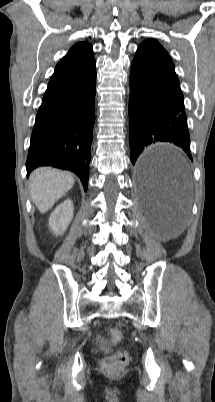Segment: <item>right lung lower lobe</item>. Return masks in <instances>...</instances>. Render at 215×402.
<instances>
[{
	"instance_id": "1",
	"label": "right lung lower lobe",
	"mask_w": 215,
	"mask_h": 402,
	"mask_svg": "<svg viewBox=\"0 0 215 402\" xmlns=\"http://www.w3.org/2000/svg\"><path fill=\"white\" fill-rule=\"evenodd\" d=\"M96 74L82 85L42 101L36 115L26 163L74 172L88 187V166L95 122Z\"/></svg>"
}]
</instances>
